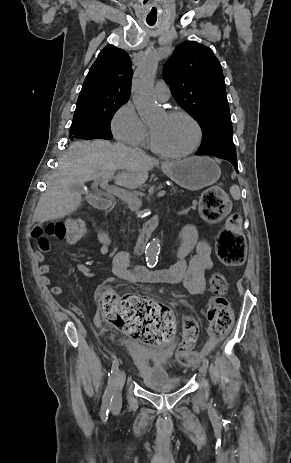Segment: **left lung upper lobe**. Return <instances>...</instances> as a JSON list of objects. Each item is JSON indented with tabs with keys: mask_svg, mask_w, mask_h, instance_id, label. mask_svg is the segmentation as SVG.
<instances>
[{
	"mask_svg": "<svg viewBox=\"0 0 291 463\" xmlns=\"http://www.w3.org/2000/svg\"><path fill=\"white\" fill-rule=\"evenodd\" d=\"M163 73L176 102L202 128L199 150L236 154L224 76L211 49L195 41L178 45Z\"/></svg>",
	"mask_w": 291,
	"mask_h": 463,
	"instance_id": "left-lung-upper-lobe-1",
	"label": "left lung upper lobe"
}]
</instances>
